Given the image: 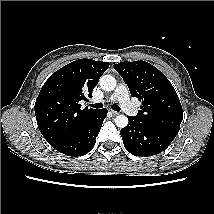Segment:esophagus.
<instances>
[{
    "instance_id": "1",
    "label": "esophagus",
    "mask_w": 214,
    "mask_h": 214,
    "mask_svg": "<svg viewBox=\"0 0 214 214\" xmlns=\"http://www.w3.org/2000/svg\"><path fill=\"white\" fill-rule=\"evenodd\" d=\"M111 112H112L113 115H118L119 114V112H117V111H113L112 110Z\"/></svg>"
}]
</instances>
